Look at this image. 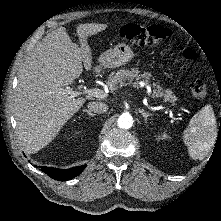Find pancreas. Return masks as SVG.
I'll return each instance as SVG.
<instances>
[{
  "label": "pancreas",
  "mask_w": 221,
  "mask_h": 221,
  "mask_svg": "<svg viewBox=\"0 0 221 221\" xmlns=\"http://www.w3.org/2000/svg\"><path fill=\"white\" fill-rule=\"evenodd\" d=\"M152 75L148 72L141 73L138 69L132 68L129 69H120L117 72H113L107 81V85L111 91H115L121 86L124 85L125 82L128 84H132L134 87H139V82L143 81L147 84L150 83ZM153 87L155 88L152 93L153 98L162 97L163 100L174 102L177 100L176 95L169 89H163L161 86L153 83Z\"/></svg>",
  "instance_id": "obj_1"
}]
</instances>
